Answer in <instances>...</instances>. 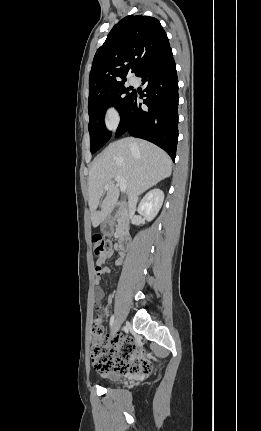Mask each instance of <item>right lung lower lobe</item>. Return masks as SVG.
Returning a JSON list of instances; mask_svg holds the SVG:
<instances>
[{
    "instance_id": "obj_1",
    "label": "right lung lower lobe",
    "mask_w": 261,
    "mask_h": 431,
    "mask_svg": "<svg viewBox=\"0 0 261 431\" xmlns=\"http://www.w3.org/2000/svg\"><path fill=\"white\" fill-rule=\"evenodd\" d=\"M146 85V94L133 91L116 131L128 132L164 149L175 160L178 142V78L172 50L168 47L136 75ZM145 106L138 103L143 99Z\"/></svg>"
}]
</instances>
